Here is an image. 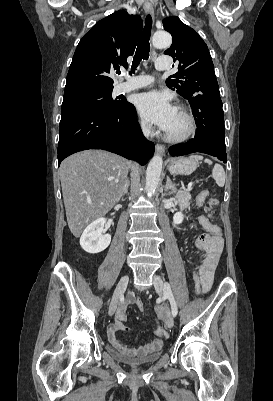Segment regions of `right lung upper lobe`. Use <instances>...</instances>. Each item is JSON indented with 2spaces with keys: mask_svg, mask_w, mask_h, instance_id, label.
I'll return each mask as SVG.
<instances>
[{
  "mask_svg": "<svg viewBox=\"0 0 273 401\" xmlns=\"http://www.w3.org/2000/svg\"><path fill=\"white\" fill-rule=\"evenodd\" d=\"M142 21L120 10L97 22L80 40L73 56L64 96L113 89L109 74L127 65L134 53Z\"/></svg>",
  "mask_w": 273,
  "mask_h": 401,
  "instance_id": "right-lung-upper-lobe-1",
  "label": "right lung upper lobe"
}]
</instances>
